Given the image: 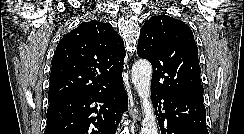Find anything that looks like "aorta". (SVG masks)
<instances>
[{"instance_id": "1", "label": "aorta", "mask_w": 244, "mask_h": 134, "mask_svg": "<svg viewBox=\"0 0 244 134\" xmlns=\"http://www.w3.org/2000/svg\"><path fill=\"white\" fill-rule=\"evenodd\" d=\"M132 82L141 99L144 118L142 120L141 134H158L156 117L151 102L152 66L149 61L140 59L132 67Z\"/></svg>"}]
</instances>
